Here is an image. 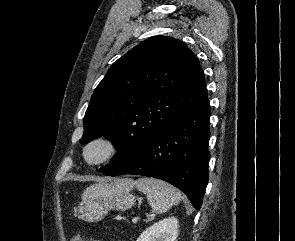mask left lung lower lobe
Returning a JSON list of instances; mask_svg holds the SVG:
<instances>
[{
    "instance_id": "0a47b994",
    "label": "left lung lower lobe",
    "mask_w": 295,
    "mask_h": 241,
    "mask_svg": "<svg viewBox=\"0 0 295 241\" xmlns=\"http://www.w3.org/2000/svg\"><path fill=\"white\" fill-rule=\"evenodd\" d=\"M209 117L206 98L162 128L132 158L107 175L164 180L181 189L200 209L209 176Z\"/></svg>"
}]
</instances>
